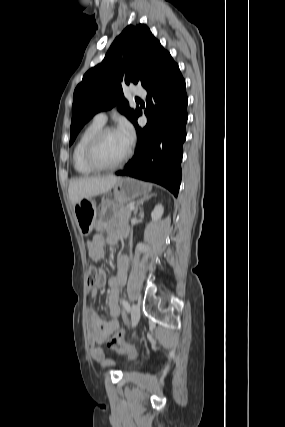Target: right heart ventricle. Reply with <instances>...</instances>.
<instances>
[{
    "instance_id": "obj_1",
    "label": "right heart ventricle",
    "mask_w": 285,
    "mask_h": 427,
    "mask_svg": "<svg viewBox=\"0 0 285 427\" xmlns=\"http://www.w3.org/2000/svg\"><path fill=\"white\" fill-rule=\"evenodd\" d=\"M104 124L93 120L79 135L72 153L73 166L77 173L81 175H91L96 172L87 165L84 159V151L89 140L101 129Z\"/></svg>"
}]
</instances>
